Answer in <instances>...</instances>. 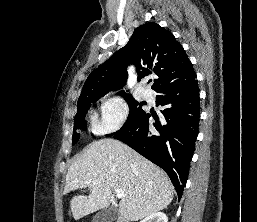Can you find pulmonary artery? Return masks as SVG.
Wrapping results in <instances>:
<instances>
[{"label": "pulmonary artery", "mask_w": 257, "mask_h": 222, "mask_svg": "<svg viewBox=\"0 0 257 222\" xmlns=\"http://www.w3.org/2000/svg\"><path fill=\"white\" fill-rule=\"evenodd\" d=\"M142 96L144 99L150 100L152 98V92L148 89L142 91Z\"/></svg>", "instance_id": "pulmonary-artery-1"}]
</instances>
